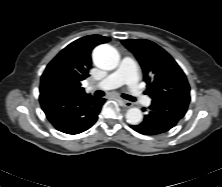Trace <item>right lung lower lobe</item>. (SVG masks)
I'll return each instance as SVG.
<instances>
[{
    "label": "right lung lower lobe",
    "mask_w": 222,
    "mask_h": 187,
    "mask_svg": "<svg viewBox=\"0 0 222 187\" xmlns=\"http://www.w3.org/2000/svg\"><path fill=\"white\" fill-rule=\"evenodd\" d=\"M40 104L51 124L66 134H79L97 121L104 98L76 95L54 81L40 85Z\"/></svg>",
    "instance_id": "obj_1"
}]
</instances>
